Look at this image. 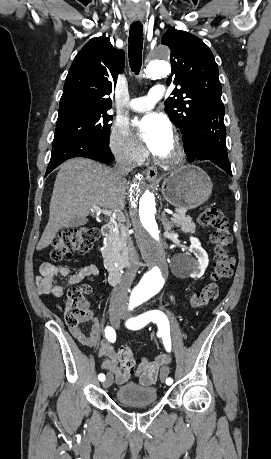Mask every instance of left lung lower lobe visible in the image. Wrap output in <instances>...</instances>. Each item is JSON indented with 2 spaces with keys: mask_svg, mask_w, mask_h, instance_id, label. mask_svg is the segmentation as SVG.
<instances>
[{
  "mask_svg": "<svg viewBox=\"0 0 271 459\" xmlns=\"http://www.w3.org/2000/svg\"><path fill=\"white\" fill-rule=\"evenodd\" d=\"M196 141L198 146L195 153L188 156L190 162L195 159L210 160L232 176L223 119L200 128L196 133Z\"/></svg>",
  "mask_w": 271,
  "mask_h": 459,
  "instance_id": "1",
  "label": "left lung lower lobe"
}]
</instances>
